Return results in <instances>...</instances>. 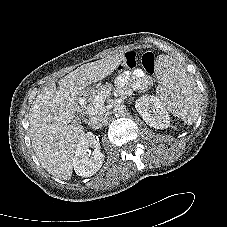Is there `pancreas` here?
<instances>
[{
    "label": "pancreas",
    "mask_w": 227,
    "mask_h": 227,
    "mask_svg": "<svg viewBox=\"0 0 227 227\" xmlns=\"http://www.w3.org/2000/svg\"><path fill=\"white\" fill-rule=\"evenodd\" d=\"M113 88V86L111 84H106L103 85L101 87H99L98 89H90L89 90V96H88V104L86 106V110L88 113H96L98 111H100L103 108V104L100 105V107L95 108L93 103L95 102V98L102 94L103 92L106 91H111ZM93 107V110L91 109Z\"/></svg>",
    "instance_id": "pancreas-1"
}]
</instances>
